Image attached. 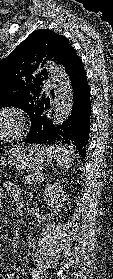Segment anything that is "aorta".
I'll use <instances>...</instances> for the list:
<instances>
[{
  "label": "aorta",
  "mask_w": 113,
  "mask_h": 279,
  "mask_svg": "<svg viewBox=\"0 0 113 279\" xmlns=\"http://www.w3.org/2000/svg\"><path fill=\"white\" fill-rule=\"evenodd\" d=\"M46 66L55 96L52 122L57 126L65 122L72 112L73 89L71 80L62 66L53 62H48Z\"/></svg>",
  "instance_id": "1"
}]
</instances>
